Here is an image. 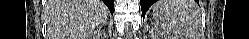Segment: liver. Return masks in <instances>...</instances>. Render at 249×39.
I'll return each mask as SVG.
<instances>
[{"label":"liver","instance_id":"liver-1","mask_svg":"<svg viewBox=\"0 0 249 39\" xmlns=\"http://www.w3.org/2000/svg\"><path fill=\"white\" fill-rule=\"evenodd\" d=\"M46 12L50 29L57 37L68 39H88L108 16V9L100 0H48Z\"/></svg>","mask_w":249,"mask_h":39}]
</instances>
